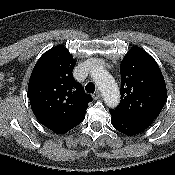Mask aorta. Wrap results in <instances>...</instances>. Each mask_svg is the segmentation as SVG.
<instances>
[{"label": "aorta", "instance_id": "aorta-1", "mask_svg": "<svg viewBox=\"0 0 175 175\" xmlns=\"http://www.w3.org/2000/svg\"><path fill=\"white\" fill-rule=\"evenodd\" d=\"M91 77L99 90L107 106L114 108L119 104L120 92L113 77L103 66H95L91 70Z\"/></svg>", "mask_w": 175, "mask_h": 175}]
</instances>
